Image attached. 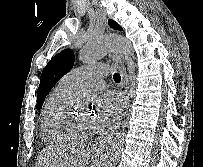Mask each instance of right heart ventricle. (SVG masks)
Wrapping results in <instances>:
<instances>
[{
	"label": "right heart ventricle",
	"instance_id": "right-heart-ventricle-1",
	"mask_svg": "<svg viewBox=\"0 0 203 167\" xmlns=\"http://www.w3.org/2000/svg\"><path fill=\"white\" fill-rule=\"evenodd\" d=\"M75 91L60 81L46 99L41 115V135L47 143L61 145L76 140L65 125Z\"/></svg>",
	"mask_w": 203,
	"mask_h": 167
}]
</instances>
